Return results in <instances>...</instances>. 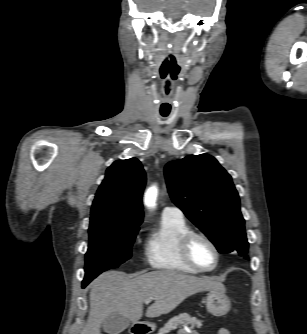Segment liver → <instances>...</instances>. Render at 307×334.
I'll list each match as a JSON object with an SVG mask.
<instances>
[{"label":"liver","mask_w":307,"mask_h":334,"mask_svg":"<svg viewBox=\"0 0 307 334\" xmlns=\"http://www.w3.org/2000/svg\"><path fill=\"white\" fill-rule=\"evenodd\" d=\"M223 287L213 278L176 271H152L134 276L107 271L91 284L90 312L81 334H101L102 323L113 313L136 323L143 315V302L149 298L155 302L148 307L146 316L153 318L171 312L194 293Z\"/></svg>","instance_id":"liver-1"}]
</instances>
